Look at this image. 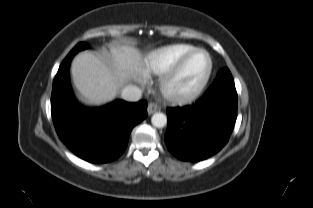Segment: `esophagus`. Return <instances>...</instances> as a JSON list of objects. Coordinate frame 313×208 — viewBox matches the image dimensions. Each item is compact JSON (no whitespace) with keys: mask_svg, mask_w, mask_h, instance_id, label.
Wrapping results in <instances>:
<instances>
[{"mask_svg":"<svg viewBox=\"0 0 313 208\" xmlns=\"http://www.w3.org/2000/svg\"><path fill=\"white\" fill-rule=\"evenodd\" d=\"M158 106L155 103H150L147 107V112L149 115L155 113L156 111H158Z\"/></svg>","mask_w":313,"mask_h":208,"instance_id":"esophagus-1","label":"esophagus"}]
</instances>
